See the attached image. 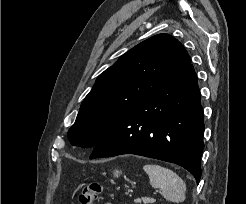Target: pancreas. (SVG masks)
Returning <instances> with one entry per match:
<instances>
[{"instance_id":"cf45deb5","label":"pancreas","mask_w":246,"mask_h":204,"mask_svg":"<svg viewBox=\"0 0 246 204\" xmlns=\"http://www.w3.org/2000/svg\"><path fill=\"white\" fill-rule=\"evenodd\" d=\"M141 201H143L144 203H148V202H150V199L147 197H142L141 199L138 198V199L134 200L135 203H141Z\"/></svg>"}]
</instances>
